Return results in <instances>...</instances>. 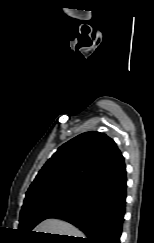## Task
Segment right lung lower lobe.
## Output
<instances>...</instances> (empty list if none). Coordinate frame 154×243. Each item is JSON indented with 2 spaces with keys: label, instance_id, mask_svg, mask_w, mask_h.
Segmentation results:
<instances>
[{
  "label": "right lung lower lobe",
  "instance_id": "98d812e1",
  "mask_svg": "<svg viewBox=\"0 0 154 243\" xmlns=\"http://www.w3.org/2000/svg\"><path fill=\"white\" fill-rule=\"evenodd\" d=\"M126 172L97 190L83 205L53 218L65 220L86 234L77 243H120L127 189Z\"/></svg>",
  "mask_w": 154,
  "mask_h": 243
}]
</instances>
